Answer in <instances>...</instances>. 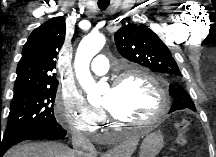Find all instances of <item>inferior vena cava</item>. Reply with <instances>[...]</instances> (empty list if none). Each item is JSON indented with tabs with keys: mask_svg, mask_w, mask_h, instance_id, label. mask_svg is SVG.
Here are the masks:
<instances>
[{
	"mask_svg": "<svg viewBox=\"0 0 216 157\" xmlns=\"http://www.w3.org/2000/svg\"><path fill=\"white\" fill-rule=\"evenodd\" d=\"M72 145L76 157H91L94 152L93 144L78 131L72 134Z\"/></svg>",
	"mask_w": 216,
	"mask_h": 157,
	"instance_id": "obj_1",
	"label": "inferior vena cava"
}]
</instances>
